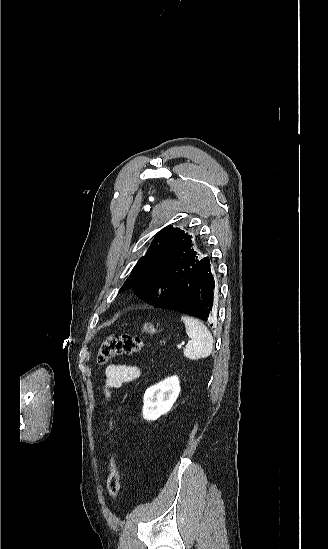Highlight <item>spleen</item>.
<instances>
[{"mask_svg": "<svg viewBox=\"0 0 328 549\" xmlns=\"http://www.w3.org/2000/svg\"><path fill=\"white\" fill-rule=\"evenodd\" d=\"M181 321H183L186 333L191 339L184 349V357L192 359V361L209 357L213 347V337L209 329L194 317L183 315Z\"/></svg>", "mask_w": 328, "mask_h": 549, "instance_id": "spleen-1", "label": "spleen"}]
</instances>
